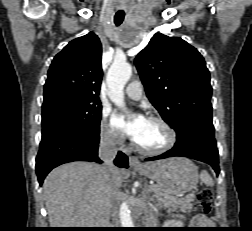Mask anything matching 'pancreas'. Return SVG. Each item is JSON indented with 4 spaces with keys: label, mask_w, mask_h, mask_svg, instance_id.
Instances as JSON below:
<instances>
[{
    "label": "pancreas",
    "mask_w": 252,
    "mask_h": 231,
    "mask_svg": "<svg viewBox=\"0 0 252 231\" xmlns=\"http://www.w3.org/2000/svg\"><path fill=\"white\" fill-rule=\"evenodd\" d=\"M152 190L157 198L159 204L165 207L179 208L181 211L191 210L193 208L192 202L194 201L195 195L189 194L184 198H175L169 195L162 194L157 185L153 186Z\"/></svg>",
    "instance_id": "obj_1"
}]
</instances>
